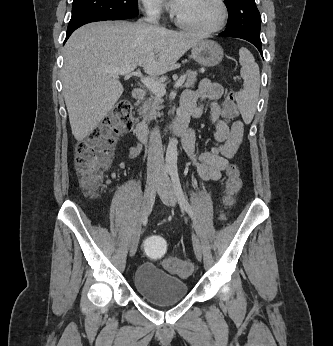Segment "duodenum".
<instances>
[{
  "label": "duodenum",
  "instance_id": "obj_1",
  "mask_svg": "<svg viewBox=\"0 0 333 346\" xmlns=\"http://www.w3.org/2000/svg\"><path fill=\"white\" fill-rule=\"evenodd\" d=\"M145 94L143 88H135L133 90V98L137 101L143 100ZM134 132L136 137L142 142H146L150 139V131L142 122L136 125ZM165 132L169 135L186 138L190 134L189 119L187 117L178 116V118L165 129Z\"/></svg>",
  "mask_w": 333,
  "mask_h": 346
}]
</instances>
